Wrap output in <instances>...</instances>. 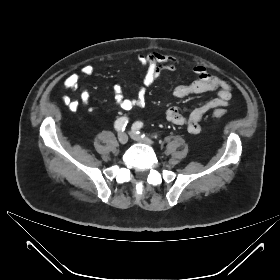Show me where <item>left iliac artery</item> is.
Here are the masks:
<instances>
[{
  "label": "left iliac artery",
  "instance_id": "44dca946",
  "mask_svg": "<svg viewBox=\"0 0 280 280\" xmlns=\"http://www.w3.org/2000/svg\"><path fill=\"white\" fill-rule=\"evenodd\" d=\"M143 127V123L140 121H137L133 124L132 130L136 131L137 134H140L139 130ZM142 137H145V134L142 135ZM153 137L157 138V135H154Z\"/></svg>",
  "mask_w": 280,
  "mask_h": 280
}]
</instances>
